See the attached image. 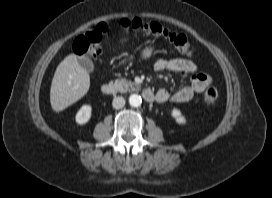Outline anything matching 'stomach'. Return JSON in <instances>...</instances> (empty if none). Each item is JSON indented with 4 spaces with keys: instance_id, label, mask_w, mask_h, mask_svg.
<instances>
[{
    "instance_id": "1",
    "label": "stomach",
    "mask_w": 272,
    "mask_h": 198,
    "mask_svg": "<svg viewBox=\"0 0 272 198\" xmlns=\"http://www.w3.org/2000/svg\"><path fill=\"white\" fill-rule=\"evenodd\" d=\"M154 48L152 46H146L142 52L141 55L143 58L148 59L152 56ZM125 62V61H123Z\"/></svg>"
}]
</instances>
